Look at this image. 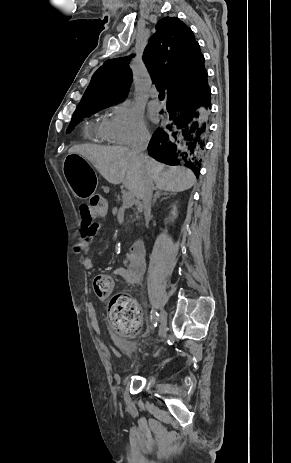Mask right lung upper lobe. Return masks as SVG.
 <instances>
[{
	"label": "right lung upper lobe",
	"instance_id": "right-lung-upper-lobe-1",
	"mask_svg": "<svg viewBox=\"0 0 291 463\" xmlns=\"http://www.w3.org/2000/svg\"><path fill=\"white\" fill-rule=\"evenodd\" d=\"M142 59L157 89L167 90V100L200 92L207 73L204 56L192 30L179 18L165 17L157 23ZM129 60H107L92 76L77 108L118 103L125 98L132 81Z\"/></svg>",
	"mask_w": 291,
	"mask_h": 463
}]
</instances>
